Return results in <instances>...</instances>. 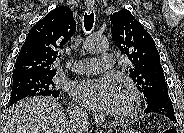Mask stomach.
<instances>
[{
  "label": "stomach",
  "instance_id": "stomach-1",
  "mask_svg": "<svg viewBox=\"0 0 184 133\" xmlns=\"http://www.w3.org/2000/svg\"><path fill=\"white\" fill-rule=\"evenodd\" d=\"M132 133H138L137 131H133Z\"/></svg>",
  "mask_w": 184,
  "mask_h": 133
}]
</instances>
